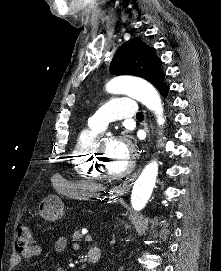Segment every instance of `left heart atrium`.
<instances>
[{
    "mask_svg": "<svg viewBox=\"0 0 221 271\" xmlns=\"http://www.w3.org/2000/svg\"><path fill=\"white\" fill-rule=\"evenodd\" d=\"M129 148H112L109 157H129Z\"/></svg>",
    "mask_w": 221,
    "mask_h": 271,
    "instance_id": "1",
    "label": "left heart atrium"
}]
</instances>
